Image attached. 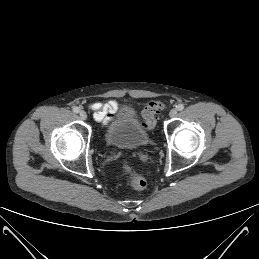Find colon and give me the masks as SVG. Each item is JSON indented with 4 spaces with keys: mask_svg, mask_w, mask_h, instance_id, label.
I'll use <instances>...</instances> for the list:
<instances>
[{
    "mask_svg": "<svg viewBox=\"0 0 259 259\" xmlns=\"http://www.w3.org/2000/svg\"><path fill=\"white\" fill-rule=\"evenodd\" d=\"M166 103L162 101H150L143 109V126L150 130L156 125V115L166 108ZM123 169L125 171L127 182L135 190H143L146 187L145 179L137 174L129 164L127 160L122 162Z\"/></svg>",
    "mask_w": 259,
    "mask_h": 259,
    "instance_id": "5ec220e1",
    "label": "colon"
}]
</instances>
